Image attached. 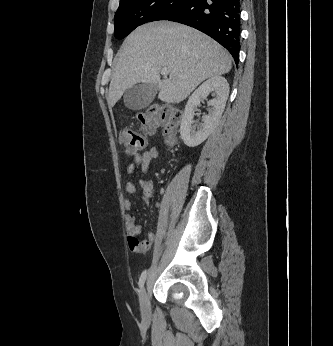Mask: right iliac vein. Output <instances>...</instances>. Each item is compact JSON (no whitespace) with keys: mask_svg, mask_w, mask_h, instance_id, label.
Masks as SVG:
<instances>
[{"mask_svg":"<svg viewBox=\"0 0 333 346\" xmlns=\"http://www.w3.org/2000/svg\"><path fill=\"white\" fill-rule=\"evenodd\" d=\"M139 299L142 318L146 323H148L151 319V306L146 288L141 289Z\"/></svg>","mask_w":333,"mask_h":346,"instance_id":"obj_1","label":"right iliac vein"}]
</instances>
